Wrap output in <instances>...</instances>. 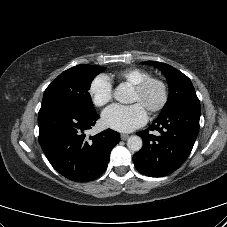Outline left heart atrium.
Masks as SVG:
<instances>
[{
	"label": "left heart atrium",
	"instance_id": "obj_1",
	"mask_svg": "<svg viewBox=\"0 0 227 227\" xmlns=\"http://www.w3.org/2000/svg\"><path fill=\"white\" fill-rule=\"evenodd\" d=\"M147 112L143 105H112L102 114L104 124L116 131L131 132L147 122Z\"/></svg>",
	"mask_w": 227,
	"mask_h": 227
}]
</instances>
